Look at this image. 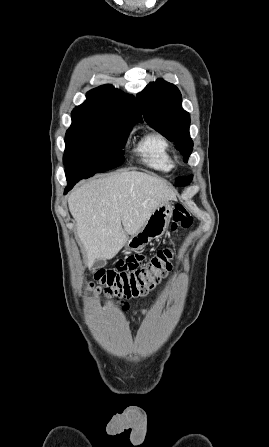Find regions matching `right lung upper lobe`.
I'll return each mask as SVG.
<instances>
[{"label": "right lung upper lobe", "mask_w": 269, "mask_h": 447, "mask_svg": "<svg viewBox=\"0 0 269 447\" xmlns=\"http://www.w3.org/2000/svg\"><path fill=\"white\" fill-rule=\"evenodd\" d=\"M72 119H85L116 124L142 121L137 102L132 95L122 93L112 85H102L87 93V100L72 111Z\"/></svg>", "instance_id": "cb5924a9"}]
</instances>
